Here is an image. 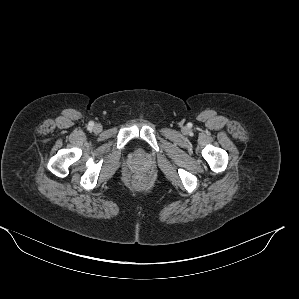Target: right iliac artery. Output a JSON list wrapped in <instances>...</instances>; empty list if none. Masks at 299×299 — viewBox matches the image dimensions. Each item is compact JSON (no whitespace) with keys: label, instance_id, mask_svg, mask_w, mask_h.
I'll return each mask as SVG.
<instances>
[{"label":"right iliac artery","instance_id":"right-iliac-artery-1","mask_svg":"<svg viewBox=\"0 0 299 299\" xmlns=\"http://www.w3.org/2000/svg\"><path fill=\"white\" fill-rule=\"evenodd\" d=\"M93 125H94V123H93V122H90V123H89V127H90V128H92V127H93Z\"/></svg>","mask_w":299,"mask_h":299}]
</instances>
